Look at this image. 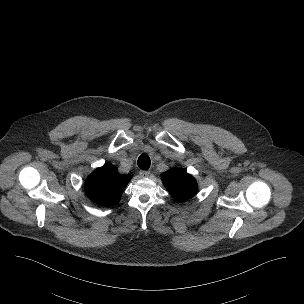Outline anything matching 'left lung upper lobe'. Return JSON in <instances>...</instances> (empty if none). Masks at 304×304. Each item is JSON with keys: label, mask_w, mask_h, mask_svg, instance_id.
Wrapping results in <instances>:
<instances>
[{"label": "left lung upper lobe", "mask_w": 304, "mask_h": 304, "mask_svg": "<svg viewBox=\"0 0 304 304\" xmlns=\"http://www.w3.org/2000/svg\"><path fill=\"white\" fill-rule=\"evenodd\" d=\"M162 181L170 195L177 201H186L197 193L196 180L183 170L171 169L163 173Z\"/></svg>", "instance_id": "left-lung-upper-lobe-1"}]
</instances>
